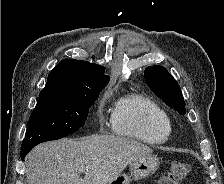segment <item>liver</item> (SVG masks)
<instances>
[{
  "label": "liver",
  "mask_w": 224,
  "mask_h": 184,
  "mask_svg": "<svg viewBox=\"0 0 224 184\" xmlns=\"http://www.w3.org/2000/svg\"><path fill=\"white\" fill-rule=\"evenodd\" d=\"M153 150L115 135L63 138L40 144L26 157L27 184H107ZM81 167L88 170L80 177Z\"/></svg>",
  "instance_id": "6515ba94"
}]
</instances>
